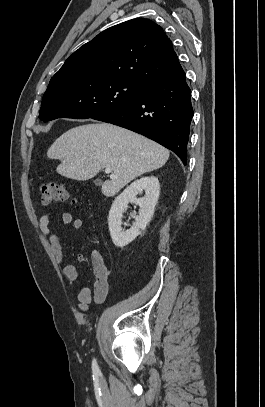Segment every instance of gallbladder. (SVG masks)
Returning <instances> with one entry per match:
<instances>
[{"label": "gallbladder", "mask_w": 265, "mask_h": 407, "mask_svg": "<svg viewBox=\"0 0 265 407\" xmlns=\"http://www.w3.org/2000/svg\"><path fill=\"white\" fill-rule=\"evenodd\" d=\"M94 183H95L96 185H101V184H102L101 180H99V179L95 180Z\"/></svg>", "instance_id": "gallbladder-1"}]
</instances>
